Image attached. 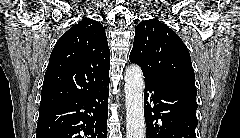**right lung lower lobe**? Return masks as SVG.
Segmentation results:
<instances>
[{
	"instance_id": "98d812e1",
	"label": "right lung lower lobe",
	"mask_w": 240,
	"mask_h": 138,
	"mask_svg": "<svg viewBox=\"0 0 240 138\" xmlns=\"http://www.w3.org/2000/svg\"><path fill=\"white\" fill-rule=\"evenodd\" d=\"M108 88L40 109L36 138H107Z\"/></svg>"
}]
</instances>
